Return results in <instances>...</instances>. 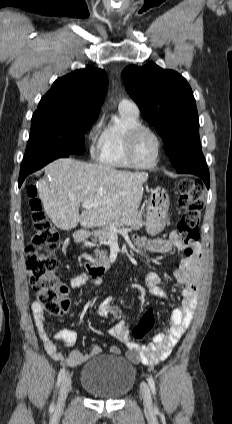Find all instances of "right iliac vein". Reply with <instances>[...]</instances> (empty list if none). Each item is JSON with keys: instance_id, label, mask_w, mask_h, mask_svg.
I'll list each match as a JSON object with an SVG mask.
<instances>
[{"instance_id": "obj_1", "label": "right iliac vein", "mask_w": 232, "mask_h": 424, "mask_svg": "<svg viewBox=\"0 0 232 424\" xmlns=\"http://www.w3.org/2000/svg\"><path fill=\"white\" fill-rule=\"evenodd\" d=\"M70 387H71V377L69 374H67L66 377L63 379L60 390H59V395H58L56 408H55L56 412L63 411L67 395L70 391Z\"/></svg>"}]
</instances>
